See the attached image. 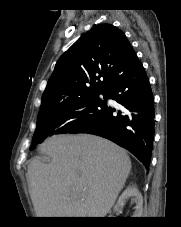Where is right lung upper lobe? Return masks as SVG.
<instances>
[{"label": "right lung upper lobe", "mask_w": 181, "mask_h": 227, "mask_svg": "<svg viewBox=\"0 0 181 227\" xmlns=\"http://www.w3.org/2000/svg\"><path fill=\"white\" fill-rule=\"evenodd\" d=\"M136 56L125 34L100 24L79 38L57 61L40 110L61 102L107 92Z\"/></svg>", "instance_id": "cb5924a9"}]
</instances>
